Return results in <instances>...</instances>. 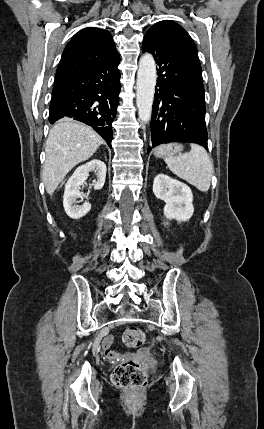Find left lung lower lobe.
<instances>
[{
  "mask_svg": "<svg viewBox=\"0 0 264 429\" xmlns=\"http://www.w3.org/2000/svg\"><path fill=\"white\" fill-rule=\"evenodd\" d=\"M142 51L158 65L150 150L162 143L193 142L207 147L202 71L184 47L147 32Z\"/></svg>",
  "mask_w": 264,
  "mask_h": 429,
  "instance_id": "obj_1",
  "label": "left lung lower lobe"
}]
</instances>
